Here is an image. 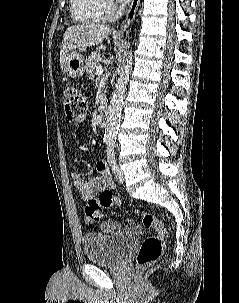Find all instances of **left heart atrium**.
I'll use <instances>...</instances> for the list:
<instances>
[{
	"label": "left heart atrium",
	"instance_id": "left-heart-atrium-1",
	"mask_svg": "<svg viewBox=\"0 0 239 303\" xmlns=\"http://www.w3.org/2000/svg\"><path fill=\"white\" fill-rule=\"evenodd\" d=\"M121 4H127L130 0H117Z\"/></svg>",
	"mask_w": 239,
	"mask_h": 303
}]
</instances>
